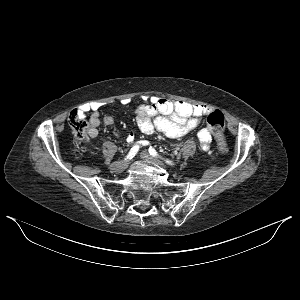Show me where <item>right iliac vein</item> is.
I'll use <instances>...</instances> for the list:
<instances>
[{
  "mask_svg": "<svg viewBox=\"0 0 300 300\" xmlns=\"http://www.w3.org/2000/svg\"><path fill=\"white\" fill-rule=\"evenodd\" d=\"M128 161L127 160H121V161H117L114 162L111 165V169L115 172H122L125 170V168L127 167Z\"/></svg>",
  "mask_w": 300,
  "mask_h": 300,
  "instance_id": "obj_1",
  "label": "right iliac vein"
}]
</instances>
